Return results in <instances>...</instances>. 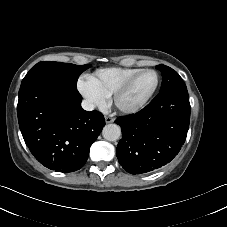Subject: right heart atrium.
Segmentation results:
<instances>
[{
    "mask_svg": "<svg viewBox=\"0 0 227 227\" xmlns=\"http://www.w3.org/2000/svg\"><path fill=\"white\" fill-rule=\"evenodd\" d=\"M78 88L90 105L98 108H103L106 105L108 97L98 90L88 79L80 81Z\"/></svg>",
    "mask_w": 227,
    "mask_h": 227,
    "instance_id": "d8ad5b80",
    "label": "right heart atrium"
}]
</instances>
